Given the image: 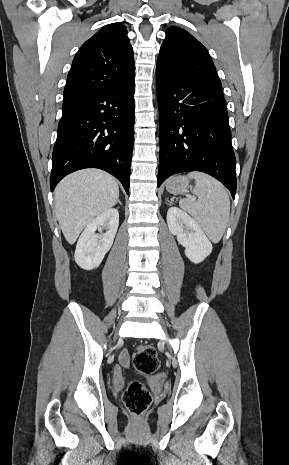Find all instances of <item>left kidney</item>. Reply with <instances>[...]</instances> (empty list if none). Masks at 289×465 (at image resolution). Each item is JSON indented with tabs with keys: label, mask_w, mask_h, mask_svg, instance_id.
<instances>
[{
	"label": "left kidney",
	"mask_w": 289,
	"mask_h": 465,
	"mask_svg": "<svg viewBox=\"0 0 289 465\" xmlns=\"http://www.w3.org/2000/svg\"><path fill=\"white\" fill-rule=\"evenodd\" d=\"M170 232L177 236L179 244L185 247L186 257L193 263L202 262L212 252V244L199 224L186 212L171 207L167 212Z\"/></svg>",
	"instance_id": "1"
}]
</instances>
